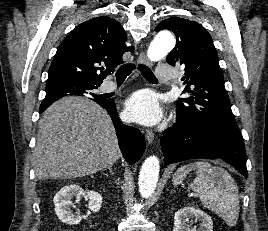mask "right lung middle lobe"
I'll return each instance as SVG.
<instances>
[{"instance_id": "dd1d6c3e", "label": "right lung middle lobe", "mask_w": 268, "mask_h": 231, "mask_svg": "<svg viewBox=\"0 0 268 231\" xmlns=\"http://www.w3.org/2000/svg\"><path fill=\"white\" fill-rule=\"evenodd\" d=\"M98 85L78 81H57L47 83L46 96L44 100H57L64 96H84L97 99L99 95L95 94Z\"/></svg>"}]
</instances>
